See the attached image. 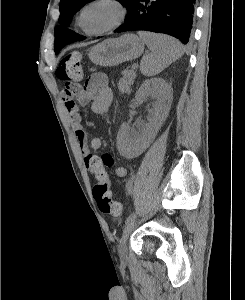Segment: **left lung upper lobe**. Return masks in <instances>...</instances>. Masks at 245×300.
<instances>
[{
	"label": "left lung upper lobe",
	"instance_id": "5c2ea615",
	"mask_svg": "<svg viewBox=\"0 0 245 300\" xmlns=\"http://www.w3.org/2000/svg\"><path fill=\"white\" fill-rule=\"evenodd\" d=\"M93 0H61L60 1V25L55 27V43L54 49L55 53L58 54L59 50L72 42L85 39V37L75 33L74 31L67 29L71 18L74 14L80 10L86 3ZM127 8V17L130 16L132 12L134 0H117Z\"/></svg>",
	"mask_w": 245,
	"mask_h": 300
}]
</instances>
